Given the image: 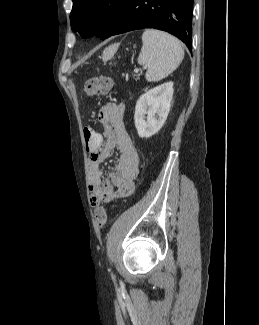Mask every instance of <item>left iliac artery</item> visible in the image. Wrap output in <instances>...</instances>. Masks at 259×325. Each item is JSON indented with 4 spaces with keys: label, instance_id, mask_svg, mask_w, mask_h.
I'll use <instances>...</instances> for the list:
<instances>
[{
    "label": "left iliac artery",
    "instance_id": "1",
    "mask_svg": "<svg viewBox=\"0 0 259 325\" xmlns=\"http://www.w3.org/2000/svg\"><path fill=\"white\" fill-rule=\"evenodd\" d=\"M111 275H112V278H114V277H115L113 274H111Z\"/></svg>",
    "mask_w": 259,
    "mask_h": 325
}]
</instances>
